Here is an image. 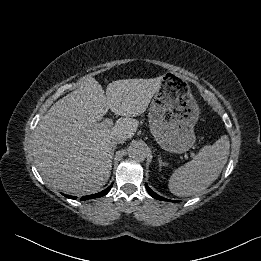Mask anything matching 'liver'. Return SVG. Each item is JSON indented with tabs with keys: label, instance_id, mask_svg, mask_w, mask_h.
<instances>
[{
	"label": "liver",
	"instance_id": "6515ba94",
	"mask_svg": "<svg viewBox=\"0 0 261 261\" xmlns=\"http://www.w3.org/2000/svg\"><path fill=\"white\" fill-rule=\"evenodd\" d=\"M161 77L123 79L107 85L106 95L91 75L79 81L78 89L53 104L39 121L32 140L35 164L42 178L74 194L94 193L111 173V138L131 139L159 89ZM110 109L122 116L114 127L95 128Z\"/></svg>",
	"mask_w": 261,
	"mask_h": 261
}]
</instances>
